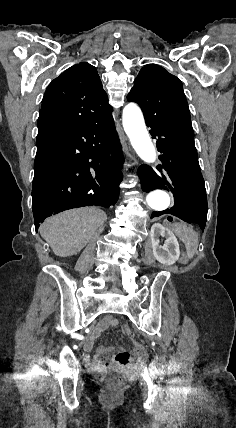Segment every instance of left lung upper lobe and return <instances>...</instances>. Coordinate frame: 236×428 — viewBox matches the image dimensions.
I'll return each mask as SVG.
<instances>
[{"label": "left lung upper lobe", "instance_id": "obj_1", "mask_svg": "<svg viewBox=\"0 0 236 428\" xmlns=\"http://www.w3.org/2000/svg\"><path fill=\"white\" fill-rule=\"evenodd\" d=\"M141 107L145 121L168 123L194 136L181 81L161 66L145 65L127 96Z\"/></svg>", "mask_w": 236, "mask_h": 428}]
</instances>
